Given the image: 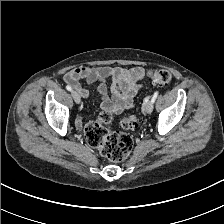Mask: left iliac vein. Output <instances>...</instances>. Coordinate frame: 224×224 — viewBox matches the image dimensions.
<instances>
[{
	"mask_svg": "<svg viewBox=\"0 0 224 224\" xmlns=\"http://www.w3.org/2000/svg\"><path fill=\"white\" fill-rule=\"evenodd\" d=\"M154 102L152 100L145 103L143 110L145 113L150 114L153 111Z\"/></svg>",
	"mask_w": 224,
	"mask_h": 224,
	"instance_id": "obj_1",
	"label": "left iliac vein"
}]
</instances>
